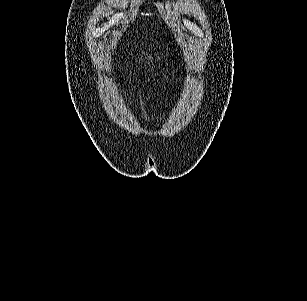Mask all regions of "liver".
Returning a JSON list of instances; mask_svg holds the SVG:
<instances>
[{"label":"liver","mask_w":307,"mask_h":301,"mask_svg":"<svg viewBox=\"0 0 307 301\" xmlns=\"http://www.w3.org/2000/svg\"><path fill=\"white\" fill-rule=\"evenodd\" d=\"M150 58H152V56H149V60H150ZM148 64H149V62H148Z\"/></svg>","instance_id":"1"}]
</instances>
